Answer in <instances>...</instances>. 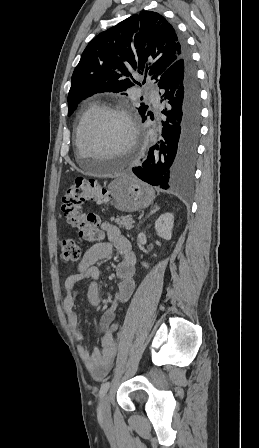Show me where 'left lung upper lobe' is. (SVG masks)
<instances>
[{
	"instance_id": "1",
	"label": "left lung upper lobe",
	"mask_w": 259,
	"mask_h": 448,
	"mask_svg": "<svg viewBox=\"0 0 259 448\" xmlns=\"http://www.w3.org/2000/svg\"><path fill=\"white\" fill-rule=\"evenodd\" d=\"M181 56L180 37L161 14L143 11L123 20L97 35L82 53L72 75L68 114L95 93H118L139 84L134 71L145 73V78L148 73L157 83ZM138 111L144 117L148 106L141 103Z\"/></svg>"
}]
</instances>
